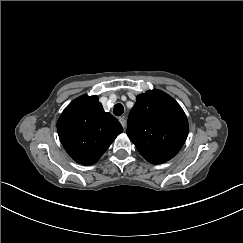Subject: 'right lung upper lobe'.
I'll list each match as a JSON object with an SVG mask.
<instances>
[{
  "label": "right lung upper lobe",
  "instance_id": "obj_1",
  "mask_svg": "<svg viewBox=\"0 0 243 243\" xmlns=\"http://www.w3.org/2000/svg\"><path fill=\"white\" fill-rule=\"evenodd\" d=\"M57 130L69 156L82 165H92L123 128L113 115L104 111L97 96L82 95L63 111Z\"/></svg>",
  "mask_w": 243,
  "mask_h": 243
}]
</instances>
